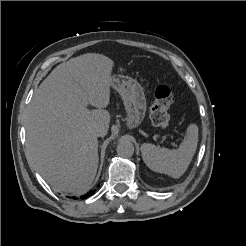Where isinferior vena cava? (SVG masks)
<instances>
[{
	"label": "inferior vena cava",
	"mask_w": 246,
	"mask_h": 246,
	"mask_svg": "<svg viewBox=\"0 0 246 246\" xmlns=\"http://www.w3.org/2000/svg\"><path fill=\"white\" fill-rule=\"evenodd\" d=\"M93 134L96 136V137H102V135H103V130H102V128H95L94 130H93Z\"/></svg>",
	"instance_id": "inferior-vena-cava-1"
}]
</instances>
